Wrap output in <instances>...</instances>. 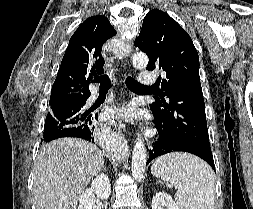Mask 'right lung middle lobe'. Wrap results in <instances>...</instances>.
Masks as SVG:
<instances>
[{"label": "right lung middle lobe", "instance_id": "dd1d6c3e", "mask_svg": "<svg viewBox=\"0 0 253 209\" xmlns=\"http://www.w3.org/2000/svg\"><path fill=\"white\" fill-rule=\"evenodd\" d=\"M84 105L85 103H81L49 109L45 121L44 134L50 131L57 132L64 128L87 124L91 116L88 111H85Z\"/></svg>", "mask_w": 253, "mask_h": 209}]
</instances>
